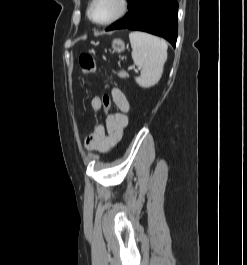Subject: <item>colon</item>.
I'll list each match as a JSON object with an SVG mask.
<instances>
[{
  "label": "colon",
  "mask_w": 247,
  "mask_h": 265,
  "mask_svg": "<svg viewBox=\"0 0 247 265\" xmlns=\"http://www.w3.org/2000/svg\"><path fill=\"white\" fill-rule=\"evenodd\" d=\"M79 64L84 74H92L97 70V63L94 58L89 54H82L79 57ZM111 108V99L108 96L103 98V110L108 114Z\"/></svg>",
  "instance_id": "colon-1"
}]
</instances>
